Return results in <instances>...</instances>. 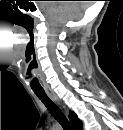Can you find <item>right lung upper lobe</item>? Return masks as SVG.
<instances>
[{"label":"right lung upper lobe","instance_id":"cb5924a9","mask_svg":"<svg viewBox=\"0 0 123 130\" xmlns=\"http://www.w3.org/2000/svg\"><path fill=\"white\" fill-rule=\"evenodd\" d=\"M69 118H70V121H71L73 127L75 128V130H82V128H83L82 127V122L77 117L76 113L70 111Z\"/></svg>","mask_w":123,"mask_h":130}]
</instances>
